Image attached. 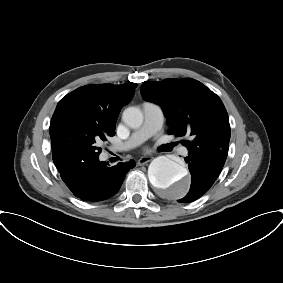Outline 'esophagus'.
<instances>
[{
	"label": "esophagus",
	"mask_w": 283,
	"mask_h": 283,
	"mask_svg": "<svg viewBox=\"0 0 283 283\" xmlns=\"http://www.w3.org/2000/svg\"><path fill=\"white\" fill-rule=\"evenodd\" d=\"M151 159H152V157H141V158L138 160L137 164H138L139 166L145 165V164H147L148 162H150Z\"/></svg>",
	"instance_id": "1"
}]
</instances>
